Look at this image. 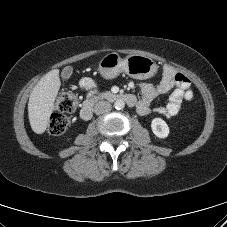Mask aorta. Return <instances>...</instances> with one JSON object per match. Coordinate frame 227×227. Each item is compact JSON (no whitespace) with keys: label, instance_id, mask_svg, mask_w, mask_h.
Segmentation results:
<instances>
[{"label":"aorta","instance_id":"obj_1","mask_svg":"<svg viewBox=\"0 0 227 227\" xmlns=\"http://www.w3.org/2000/svg\"><path fill=\"white\" fill-rule=\"evenodd\" d=\"M114 106L116 109L120 110V109H123L124 106H125V102L123 99H117L115 102H114Z\"/></svg>","mask_w":227,"mask_h":227}]
</instances>
